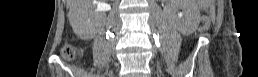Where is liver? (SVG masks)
I'll use <instances>...</instances> for the list:
<instances>
[{
    "label": "liver",
    "mask_w": 258,
    "mask_h": 77,
    "mask_svg": "<svg viewBox=\"0 0 258 77\" xmlns=\"http://www.w3.org/2000/svg\"><path fill=\"white\" fill-rule=\"evenodd\" d=\"M67 4L70 8L68 18L71 25H73L75 14H79V12H85V9H87L91 4V0H68Z\"/></svg>",
    "instance_id": "6515ba94"
}]
</instances>
